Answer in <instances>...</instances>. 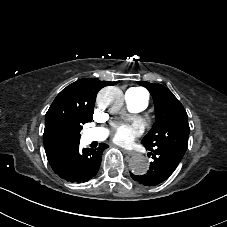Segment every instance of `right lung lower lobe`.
<instances>
[{"mask_svg": "<svg viewBox=\"0 0 227 227\" xmlns=\"http://www.w3.org/2000/svg\"><path fill=\"white\" fill-rule=\"evenodd\" d=\"M107 147L101 143L96 150H80L77 143L67 146L48 161L54 172L66 181L86 182L97 174L102 153Z\"/></svg>", "mask_w": 227, "mask_h": 227, "instance_id": "1", "label": "right lung lower lobe"}]
</instances>
